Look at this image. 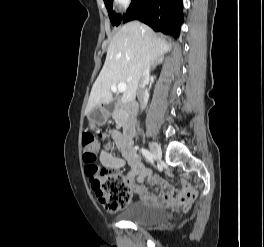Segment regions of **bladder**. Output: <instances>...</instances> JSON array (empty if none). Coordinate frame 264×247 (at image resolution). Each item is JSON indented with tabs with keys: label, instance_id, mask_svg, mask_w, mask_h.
I'll return each mask as SVG.
<instances>
[{
	"label": "bladder",
	"instance_id": "obj_1",
	"mask_svg": "<svg viewBox=\"0 0 264 247\" xmlns=\"http://www.w3.org/2000/svg\"><path fill=\"white\" fill-rule=\"evenodd\" d=\"M121 218L136 225L157 227L169 221L170 211L164 207L137 201L123 212Z\"/></svg>",
	"mask_w": 264,
	"mask_h": 247
}]
</instances>
